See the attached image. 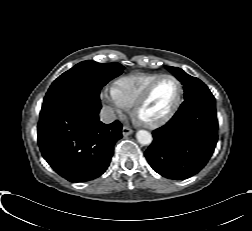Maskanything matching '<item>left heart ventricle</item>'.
<instances>
[{"instance_id":"1","label":"left heart ventricle","mask_w":252,"mask_h":231,"mask_svg":"<svg viewBox=\"0 0 252 231\" xmlns=\"http://www.w3.org/2000/svg\"><path fill=\"white\" fill-rule=\"evenodd\" d=\"M177 92V84L173 79L161 80L152 91L147 102L141 107L139 117L145 121L161 118L173 105Z\"/></svg>"}]
</instances>
